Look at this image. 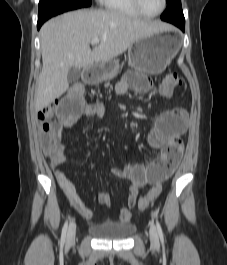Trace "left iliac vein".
I'll return each mask as SVG.
<instances>
[{
    "label": "left iliac vein",
    "instance_id": "4c4485c4",
    "mask_svg": "<svg viewBox=\"0 0 227 265\" xmlns=\"http://www.w3.org/2000/svg\"><path fill=\"white\" fill-rule=\"evenodd\" d=\"M149 235H150L151 243L153 245H157L159 243L158 233H157V229L153 223H150Z\"/></svg>",
    "mask_w": 227,
    "mask_h": 265
}]
</instances>
